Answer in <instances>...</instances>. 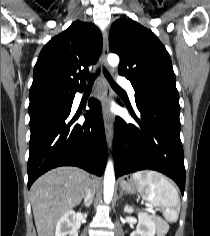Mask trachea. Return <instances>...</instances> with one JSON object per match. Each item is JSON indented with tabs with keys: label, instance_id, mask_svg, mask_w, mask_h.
<instances>
[{
	"label": "trachea",
	"instance_id": "1",
	"mask_svg": "<svg viewBox=\"0 0 210 236\" xmlns=\"http://www.w3.org/2000/svg\"><path fill=\"white\" fill-rule=\"evenodd\" d=\"M105 77L107 78V80L109 81L110 85L112 86V88L116 91H120V92H124L112 79V77L110 76V74L104 69L103 70ZM99 74V71H97L96 74H92L90 76H84V78H86L88 80V88H91L93 86L94 80L97 77V75Z\"/></svg>",
	"mask_w": 210,
	"mask_h": 236
}]
</instances>
